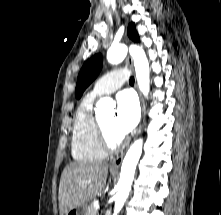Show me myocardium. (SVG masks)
<instances>
[{
    "label": "myocardium",
    "mask_w": 221,
    "mask_h": 215,
    "mask_svg": "<svg viewBox=\"0 0 221 215\" xmlns=\"http://www.w3.org/2000/svg\"><path fill=\"white\" fill-rule=\"evenodd\" d=\"M96 129L99 143L105 152H114L122 146V138H112L104 129L100 120L96 121Z\"/></svg>",
    "instance_id": "myocardium-1"
}]
</instances>
